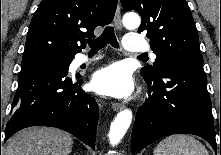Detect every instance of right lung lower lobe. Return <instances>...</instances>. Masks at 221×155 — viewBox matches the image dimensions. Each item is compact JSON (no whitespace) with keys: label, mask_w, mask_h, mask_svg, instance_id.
Masks as SVG:
<instances>
[{"label":"right lung lower lobe","mask_w":221,"mask_h":155,"mask_svg":"<svg viewBox=\"0 0 221 155\" xmlns=\"http://www.w3.org/2000/svg\"><path fill=\"white\" fill-rule=\"evenodd\" d=\"M69 64L45 55L23 57L4 141L23 128L44 125L63 129L95 148L99 107L81 89L78 75L67 77Z\"/></svg>","instance_id":"right-lung-lower-lobe-1"}]
</instances>
